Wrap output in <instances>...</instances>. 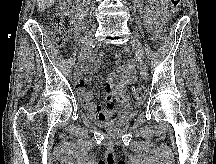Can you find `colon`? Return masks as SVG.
Instances as JSON below:
<instances>
[{"mask_svg":"<svg viewBox=\"0 0 216 164\" xmlns=\"http://www.w3.org/2000/svg\"><path fill=\"white\" fill-rule=\"evenodd\" d=\"M171 17L175 19L180 11L182 0H170ZM75 8V0H59L55 13L51 19V34L57 45H63L66 34L72 24V14ZM147 91L144 87L134 88L130 94H119L117 100L119 103L134 105L141 103L146 97Z\"/></svg>","mask_w":216,"mask_h":164,"instance_id":"obj_1","label":"colon"}]
</instances>
